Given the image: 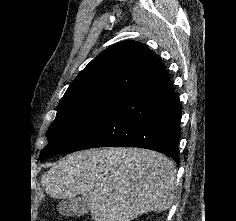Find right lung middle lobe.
<instances>
[{
    "instance_id": "right-lung-middle-lobe-1",
    "label": "right lung middle lobe",
    "mask_w": 236,
    "mask_h": 221,
    "mask_svg": "<svg viewBox=\"0 0 236 221\" xmlns=\"http://www.w3.org/2000/svg\"><path fill=\"white\" fill-rule=\"evenodd\" d=\"M135 93L122 89L97 91L59 104L40 160L69 150Z\"/></svg>"
}]
</instances>
